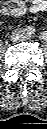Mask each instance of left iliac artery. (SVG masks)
<instances>
[{
	"label": "left iliac artery",
	"mask_w": 47,
	"mask_h": 129,
	"mask_svg": "<svg viewBox=\"0 0 47 129\" xmlns=\"http://www.w3.org/2000/svg\"><path fill=\"white\" fill-rule=\"evenodd\" d=\"M41 38L44 39V40H46V39H47V33H45V32L42 33V34H41Z\"/></svg>",
	"instance_id": "obj_1"
}]
</instances>
